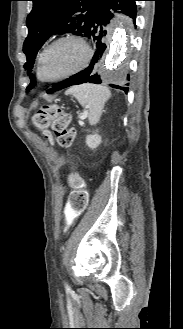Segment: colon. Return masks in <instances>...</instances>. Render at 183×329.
I'll return each mask as SVG.
<instances>
[{"mask_svg": "<svg viewBox=\"0 0 183 329\" xmlns=\"http://www.w3.org/2000/svg\"><path fill=\"white\" fill-rule=\"evenodd\" d=\"M70 120L71 115L56 104L43 105L32 117L33 124L42 131L44 137L50 142L55 139L63 148H69L74 141L75 131L70 127ZM68 183L72 191L61 215V220L66 221L65 232L71 227L74 218L83 217L88 203V192L82 178L76 173L70 174Z\"/></svg>", "mask_w": 183, "mask_h": 329, "instance_id": "1", "label": "colon"}]
</instances>
